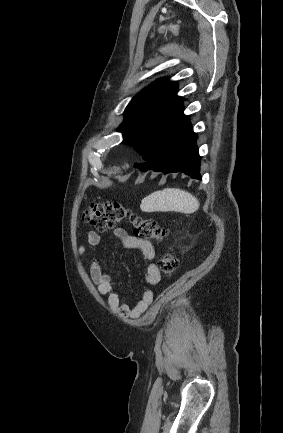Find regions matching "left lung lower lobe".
I'll return each mask as SVG.
<instances>
[{
	"mask_svg": "<svg viewBox=\"0 0 283 433\" xmlns=\"http://www.w3.org/2000/svg\"><path fill=\"white\" fill-rule=\"evenodd\" d=\"M196 138L189 120L178 130L170 126L153 128L139 152L145 163L135 166L142 171L183 172L201 179Z\"/></svg>",
	"mask_w": 283,
	"mask_h": 433,
	"instance_id": "left-lung-lower-lobe-1",
	"label": "left lung lower lobe"
}]
</instances>
